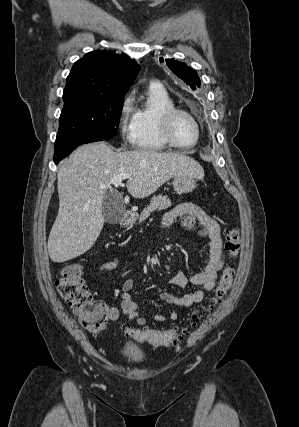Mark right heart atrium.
Instances as JSON below:
<instances>
[{"label":"right heart atrium","mask_w":299,"mask_h":427,"mask_svg":"<svg viewBox=\"0 0 299 427\" xmlns=\"http://www.w3.org/2000/svg\"><path fill=\"white\" fill-rule=\"evenodd\" d=\"M118 128L121 139L126 143H133L135 136L134 104L131 94H127L119 106Z\"/></svg>","instance_id":"obj_1"}]
</instances>
